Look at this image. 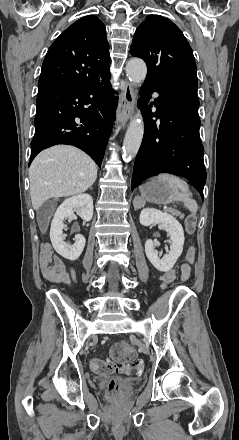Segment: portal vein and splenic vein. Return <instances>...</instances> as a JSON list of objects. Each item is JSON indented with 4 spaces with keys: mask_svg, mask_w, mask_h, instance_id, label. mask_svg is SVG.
<instances>
[{
    "mask_svg": "<svg viewBox=\"0 0 239 440\" xmlns=\"http://www.w3.org/2000/svg\"><path fill=\"white\" fill-rule=\"evenodd\" d=\"M162 209H163L164 212H165V211H168V207H167V205L165 204L164 207H163Z\"/></svg>",
    "mask_w": 239,
    "mask_h": 440,
    "instance_id": "obj_1",
    "label": "portal vein and splenic vein"
}]
</instances>
